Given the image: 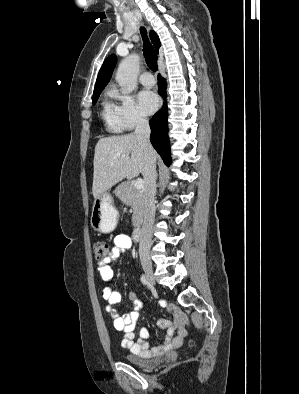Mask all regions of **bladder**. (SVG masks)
<instances>
[{"label":"bladder","mask_w":299,"mask_h":394,"mask_svg":"<svg viewBox=\"0 0 299 394\" xmlns=\"http://www.w3.org/2000/svg\"><path fill=\"white\" fill-rule=\"evenodd\" d=\"M124 358L128 363L138 368H154L160 363L159 359H149L133 353L125 354Z\"/></svg>","instance_id":"31cf9c89"}]
</instances>
